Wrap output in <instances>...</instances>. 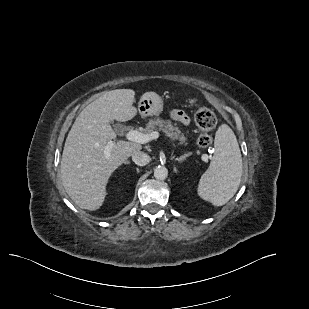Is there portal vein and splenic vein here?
I'll return each mask as SVG.
<instances>
[{"instance_id": "18ae733b", "label": "portal vein and splenic vein", "mask_w": 309, "mask_h": 309, "mask_svg": "<svg viewBox=\"0 0 309 309\" xmlns=\"http://www.w3.org/2000/svg\"><path fill=\"white\" fill-rule=\"evenodd\" d=\"M159 132L154 131L152 133H141L137 130H131L129 132L126 133V138L130 141L136 142V143H140V144H145L148 143L154 139H157L159 137ZM113 144L110 143L109 145H107V147L105 148V156L106 158L110 157V148ZM203 160L206 161L208 159L207 155H203L202 156Z\"/></svg>"}]
</instances>
